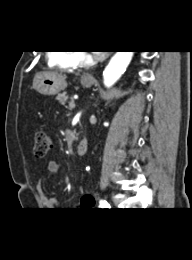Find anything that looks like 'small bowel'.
<instances>
[{
  "label": "small bowel",
  "instance_id": "1",
  "mask_svg": "<svg viewBox=\"0 0 192 260\" xmlns=\"http://www.w3.org/2000/svg\"><path fill=\"white\" fill-rule=\"evenodd\" d=\"M47 171L51 175H57L59 172L58 163L55 160H50L47 164ZM42 184H43L42 179H39V181L37 183V189L39 192H41V190H42ZM40 199H41V203L43 204V206L47 209L53 210V209H57L60 207V201L55 197H48V196L41 194ZM93 204H94V200L91 195L82 196V198L80 200L81 207L89 208V207H92Z\"/></svg>",
  "mask_w": 192,
  "mask_h": 260
}]
</instances>
